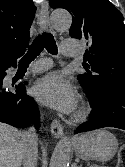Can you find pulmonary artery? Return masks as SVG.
<instances>
[{
    "mask_svg": "<svg viewBox=\"0 0 125 167\" xmlns=\"http://www.w3.org/2000/svg\"><path fill=\"white\" fill-rule=\"evenodd\" d=\"M62 54L69 58H75L78 55V44L74 39L64 40L61 43ZM49 68V62L47 59H41L37 61L32 67L31 70L34 73H43Z\"/></svg>",
    "mask_w": 125,
    "mask_h": 167,
    "instance_id": "obj_1",
    "label": "pulmonary artery"
}]
</instances>
